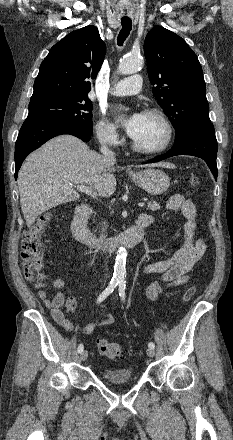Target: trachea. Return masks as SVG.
<instances>
[{"label": "trachea", "instance_id": "3493384b", "mask_svg": "<svg viewBox=\"0 0 233 440\" xmlns=\"http://www.w3.org/2000/svg\"><path fill=\"white\" fill-rule=\"evenodd\" d=\"M122 29L119 32L117 37V42L119 46H122L126 38L129 36V33L132 29V21L129 18L121 19Z\"/></svg>", "mask_w": 233, "mask_h": 440}]
</instances>
